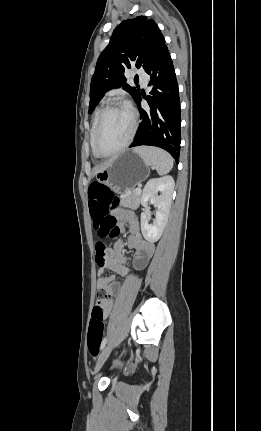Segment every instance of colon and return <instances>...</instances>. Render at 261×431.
Wrapping results in <instances>:
<instances>
[{
	"mask_svg": "<svg viewBox=\"0 0 261 431\" xmlns=\"http://www.w3.org/2000/svg\"><path fill=\"white\" fill-rule=\"evenodd\" d=\"M89 210L94 228L99 238H115L119 234L116 219L112 212L116 204V197L111 189L103 183L92 182L88 188ZM114 256L113 251L104 243L99 242L96 247V262L105 264ZM108 294L99 290L96 295V305L93 309L88 333V348L92 355H96L102 340L105 324L103 319V304L110 301ZM120 357V352H115ZM120 366L126 363L123 357L117 360Z\"/></svg>",
	"mask_w": 261,
	"mask_h": 431,
	"instance_id": "obj_1",
	"label": "colon"
}]
</instances>
